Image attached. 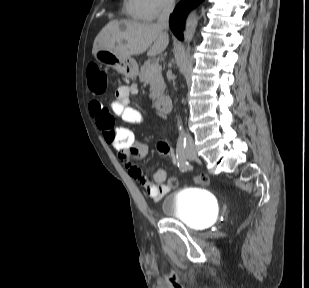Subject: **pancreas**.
Instances as JSON below:
<instances>
[{
	"label": "pancreas",
	"mask_w": 309,
	"mask_h": 288,
	"mask_svg": "<svg viewBox=\"0 0 309 288\" xmlns=\"http://www.w3.org/2000/svg\"><path fill=\"white\" fill-rule=\"evenodd\" d=\"M153 64L150 60L144 62L139 72V80L144 83H150V98L155 101L163 96L166 85L161 75V70L150 71V67Z\"/></svg>",
	"instance_id": "pancreas-1"
}]
</instances>
